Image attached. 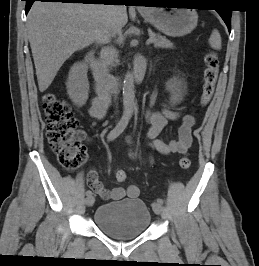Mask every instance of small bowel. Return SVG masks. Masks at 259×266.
Here are the masks:
<instances>
[{"label":"small bowel","instance_id":"obj_1","mask_svg":"<svg viewBox=\"0 0 259 266\" xmlns=\"http://www.w3.org/2000/svg\"><path fill=\"white\" fill-rule=\"evenodd\" d=\"M109 107V97L105 91L98 90V95L93 99L89 114L91 118L102 119ZM182 119V125L178 129V137L168 143L157 139L163 128L169 121ZM145 122L149 125L147 139L151 141L152 146L163 154H185L192 144V127L195 118L192 113H185L183 108L172 110L167 107L161 109L148 108L145 111ZM129 142H131L129 140ZM131 156L137 158V152L132 149ZM87 184L92 191L97 193L102 199L110 201L120 200L127 196L136 198L139 195V189L135 185L127 188L116 187L111 190L105 189L99 181L98 174L91 170L87 175Z\"/></svg>","mask_w":259,"mask_h":266}]
</instances>
